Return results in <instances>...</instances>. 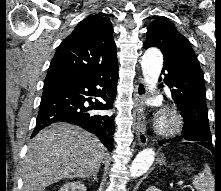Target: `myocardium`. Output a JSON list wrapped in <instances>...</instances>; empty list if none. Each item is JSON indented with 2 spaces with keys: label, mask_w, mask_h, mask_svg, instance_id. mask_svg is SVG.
Wrapping results in <instances>:
<instances>
[{
  "label": "myocardium",
  "mask_w": 221,
  "mask_h": 191,
  "mask_svg": "<svg viewBox=\"0 0 221 191\" xmlns=\"http://www.w3.org/2000/svg\"><path fill=\"white\" fill-rule=\"evenodd\" d=\"M181 127L180 116L173 111H165L160 119L158 126L159 132L164 135H170L177 132Z\"/></svg>",
  "instance_id": "f54148a6"
}]
</instances>
